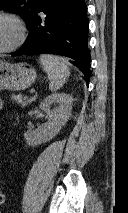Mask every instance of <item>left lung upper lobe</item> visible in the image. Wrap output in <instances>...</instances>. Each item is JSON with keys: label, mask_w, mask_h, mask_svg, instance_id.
<instances>
[{"label": "left lung upper lobe", "mask_w": 128, "mask_h": 213, "mask_svg": "<svg viewBox=\"0 0 128 213\" xmlns=\"http://www.w3.org/2000/svg\"><path fill=\"white\" fill-rule=\"evenodd\" d=\"M39 0H0V10H6L22 16L27 23V28L30 25L34 11Z\"/></svg>", "instance_id": "left-lung-upper-lobe-1"}]
</instances>
